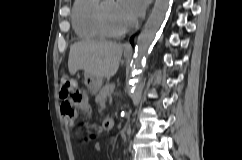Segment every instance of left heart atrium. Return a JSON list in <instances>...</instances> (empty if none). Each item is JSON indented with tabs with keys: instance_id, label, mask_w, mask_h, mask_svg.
Listing matches in <instances>:
<instances>
[{
	"instance_id": "1",
	"label": "left heart atrium",
	"mask_w": 242,
	"mask_h": 160,
	"mask_svg": "<svg viewBox=\"0 0 242 160\" xmlns=\"http://www.w3.org/2000/svg\"><path fill=\"white\" fill-rule=\"evenodd\" d=\"M119 7L128 25L134 23L145 11V0H118Z\"/></svg>"
}]
</instances>
